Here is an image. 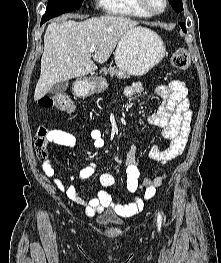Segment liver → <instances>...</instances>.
<instances>
[{
  "instance_id": "liver-1",
  "label": "liver",
  "mask_w": 221,
  "mask_h": 263,
  "mask_svg": "<svg viewBox=\"0 0 221 263\" xmlns=\"http://www.w3.org/2000/svg\"><path fill=\"white\" fill-rule=\"evenodd\" d=\"M137 24L131 19L111 15L49 24L34 99L44 97L56 83L95 71L94 61L105 63L126 32L144 29ZM92 46L96 47L94 61L89 51Z\"/></svg>"
}]
</instances>
